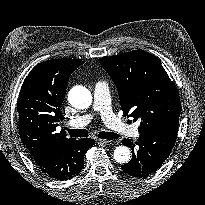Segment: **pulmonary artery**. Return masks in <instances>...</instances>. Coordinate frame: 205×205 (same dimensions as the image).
<instances>
[{
  "label": "pulmonary artery",
  "mask_w": 205,
  "mask_h": 205,
  "mask_svg": "<svg viewBox=\"0 0 205 205\" xmlns=\"http://www.w3.org/2000/svg\"><path fill=\"white\" fill-rule=\"evenodd\" d=\"M94 113H99L105 125L115 133H127L133 137L139 135L137 125L129 126L115 114L111 106L109 88L104 82L95 84L92 112L74 118L68 124L76 128L84 127L91 122Z\"/></svg>",
  "instance_id": "1"
}]
</instances>
